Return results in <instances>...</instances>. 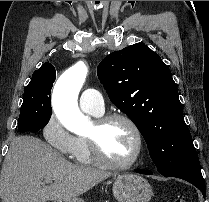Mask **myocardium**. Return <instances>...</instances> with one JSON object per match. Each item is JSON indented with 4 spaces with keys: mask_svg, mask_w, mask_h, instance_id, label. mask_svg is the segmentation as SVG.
<instances>
[{
    "mask_svg": "<svg viewBox=\"0 0 209 202\" xmlns=\"http://www.w3.org/2000/svg\"><path fill=\"white\" fill-rule=\"evenodd\" d=\"M114 121H123L127 123L132 129L136 138V148L133 157L127 162H114L110 160L102 151L99 142L100 133L106 128L108 124ZM86 141L93 159L102 166L116 169L126 170L134 167L142 158L144 152V137L138 124L128 115L124 113H111L101 116L95 121V133L86 136Z\"/></svg>",
    "mask_w": 209,
    "mask_h": 202,
    "instance_id": "myocardium-1",
    "label": "myocardium"
}]
</instances>
